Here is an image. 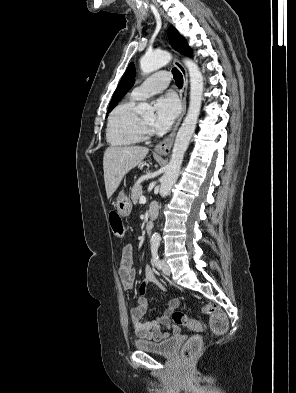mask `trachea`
Listing matches in <instances>:
<instances>
[{
  "mask_svg": "<svg viewBox=\"0 0 296 393\" xmlns=\"http://www.w3.org/2000/svg\"><path fill=\"white\" fill-rule=\"evenodd\" d=\"M172 73H173V77H174L176 85L178 87H182L183 86V77H182V74L180 73V71H178L176 68H173Z\"/></svg>",
  "mask_w": 296,
  "mask_h": 393,
  "instance_id": "trachea-1",
  "label": "trachea"
}]
</instances>
